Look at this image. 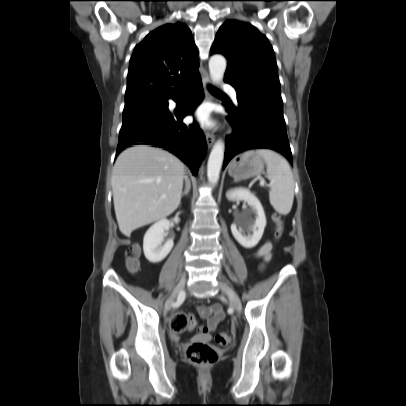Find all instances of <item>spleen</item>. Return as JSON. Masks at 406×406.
Returning <instances> with one entry per match:
<instances>
[{
	"label": "spleen",
	"instance_id": "obj_1",
	"mask_svg": "<svg viewBox=\"0 0 406 406\" xmlns=\"http://www.w3.org/2000/svg\"><path fill=\"white\" fill-rule=\"evenodd\" d=\"M260 155L267 164V178L271 188L269 200L273 208L282 215H287L292 209L294 200V179L287 161L269 149L249 151L246 155Z\"/></svg>",
	"mask_w": 406,
	"mask_h": 406
}]
</instances>
